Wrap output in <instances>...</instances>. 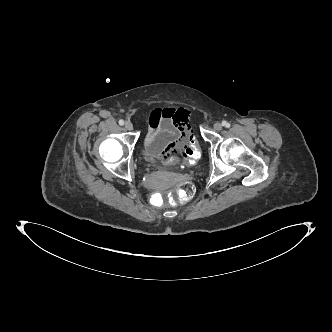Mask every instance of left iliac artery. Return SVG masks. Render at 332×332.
Returning <instances> with one entry per match:
<instances>
[{
	"label": "left iliac artery",
	"mask_w": 332,
	"mask_h": 332,
	"mask_svg": "<svg viewBox=\"0 0 332 332\" xmlns=\"http://www.w3.org/2000/svg\"><path fill=\"white\" fill-rule=\"evenodd\" d=\"M222 125L225 126V127H229L230 126V124L227 121H223Z\"/></svg>",
	"instance_id": "1"
}]
</instances>
